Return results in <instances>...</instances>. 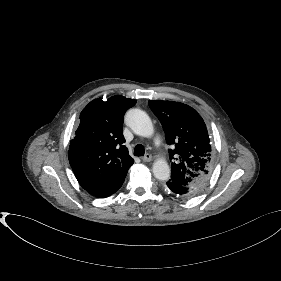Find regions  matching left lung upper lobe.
Here are the masks:
<instances>
[{
	"label": "left lung upper lobe",
	"mask_w": 281,
	"mask_h": 281,
	"mask_svg": "<svg viewBox=\"0 0 281 281\" xmlns=\"http://www.w3.org/2000/svg\"><path fill=\"white\" fill-rule=\"evenodd\" d=\"M160 120L169 149L171 178L168 182L195 188L198 193L213 170V152L201 116L190 106L172 101H149Z\"/></svg>",
	"instance_id": "1"
}]
</instances>
